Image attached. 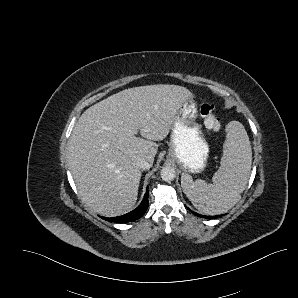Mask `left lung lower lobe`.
I'll list each match as a JSON object with an SVG mask.
<instances>
[{
    "mask_svg": "<svg viewBox=\"0 0 298 298\" xmlns=\"http://www.w3.org/2000/svg\"><path fill=\"white\" fill-rule=\"evenodd\" d=\"M191 211V210H190ZM193 214H195L196 216H199V217H202V218H208V219H211V218H216L217 216H205V215H200V214H197L193 211H191Z\"/></svg>",
    "mask_w": 298,
    "mask_h": 298,
    "instance_id": "left-lung-lower-lobe-1",
    "label": "left lung lower lobe"
}]
</instances>
